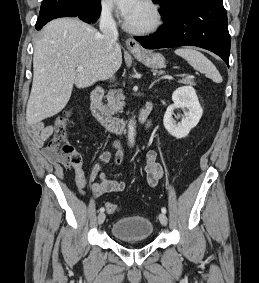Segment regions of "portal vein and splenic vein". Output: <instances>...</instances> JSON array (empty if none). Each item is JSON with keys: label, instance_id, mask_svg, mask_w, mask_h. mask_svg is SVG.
<instances>
[{"label": "portal vein and splenic vein", "instance_id": "1", "mask_svg": "<svg viewBox=\"0 0 259 283\" xmlns=\"http://www.w3.org/2000/svg\"><path fill=\"white\" fill-rule=\"evenodd\" d=\"M83 69H84V68H83L82 66H80V65L77 66V71H78V72L83 71ZM161 78H162V79H173V77H172L171 75H164V76H162Z\"/></svg>", "mask_w": 259, "mask_h": 283}]
</instances>
